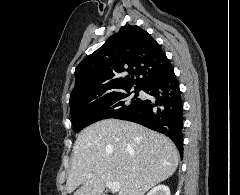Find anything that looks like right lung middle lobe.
Masks as SVG:
<instances>
[{
  "label": "right lung middle lobe",
  "mask_w": 240,
  "mask_h": 195,
  "mask_svg": "<svg viewBox=\"0 0 240 195\" xmlns=\"http://www.w3.org/2000/svg\"><path fill=\"white\" fill-rule=\"evenodd\" d=\"M134 90L135 95L132 98L129 97V88L105 96L77 99L70 103L74 131L79 132L103 119L115 118L138 106L142 102L137 98L140 89Z\"/></svg>",
  "instance_id": "obj_1"
}]
</instances>
